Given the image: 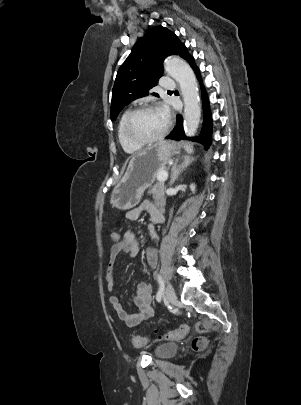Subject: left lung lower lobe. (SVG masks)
Wrapping results in <instances>:
<instances>
[{"mask_svg": "<svg viewBox=\"0 0 301 405\" xmlns=\"http://www.w3.org/2000/svg\"><path fill=\"white\" fill-rule=\"evenodd\" d=\"M186 61L190 64V66L193 68V70L196 72L197 77L199 81L201 82L200 75H199V70L195 64L194 58L190 55ZM202 101H203V115H204V120L202 124V129L201 133L198 137L191 138L193 141L200 142L203 144L206 148H208L211 145L212 142V117L211 113L209 110V101L207 98V95L205 93L204 88L202 87ZM186 135L183 131V118L180 115H177V123L176 127L173 129V131L166 137V139H173V140H182L186 139Z\"/></svg>", "mask_w": 301, "mask_h": 405, "instance_id": "obj_1", "label": "left lung lower lobe"}]
</instances>
